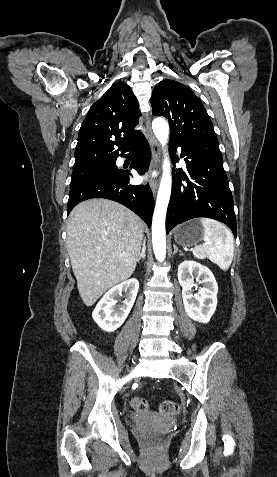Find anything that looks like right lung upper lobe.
<instances>
[{
  "label": "right lung upper lobe",
  "instance_id": "1",
  "mask_svg": "<svg viewBox=\"0 0 277 477\" xmlns=\"http://www.w3.org/2000/svg\"><path fill=\"white\" fill-rule=\"evenodd\" d=\"M138 101L122 82L112 85L90 108L78 135L73 168L113 161L144 138Z\"/></svg>",
  "mask_w": 277,
  "mask_h": 477
}]
</instances>
